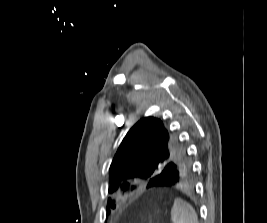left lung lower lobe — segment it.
I'll return each instance as SVG.
<instances>
[{
    "instance_id": "obj_1",
    "label": "left lung lower lobe",
    "mask_w": 267,
    "mask_h": 223,
    "mask_svg": "<svg viewBox=\"0 0 267 223\" xmlns=\"http://www.w3.org/2000/svg\"><path fill=\"white\" fill-rule=\"evenodd\" d=\"M191 176H196V171H163L153 173V180L144 182L142 190H150V195H174L177 190L193 189Z\"/></svg>"
}]
</instances>
